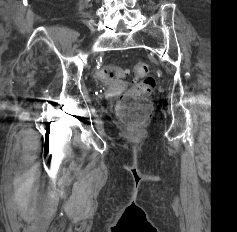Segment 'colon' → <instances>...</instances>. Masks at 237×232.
I'll list each match as a JSON object with an SVG mask.
<instances>
[{"instance_id":"colon-1","label":"colon","mask_w":237,"mask_h":232,"mask_svg":"<svg viewBox=\"0 0 237 232\" xmlns=\"http://www.w3.org/2000/svg\"><path fill=\"white\" fill-rule=\"evenodd\" d=\"M146 62H137L130 71L135 85L125 91L117 105V115L124 128L131 134L138 133L146 124L151 114L149 95L155 88V80L148 75ZM128 71L115 65H107L98 71L101 80L108 81L122 78Z\"/></svg>"}]
</instances>
